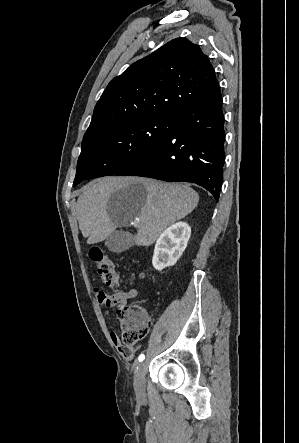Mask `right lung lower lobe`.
I'll return each instance as SVG.
<instances>
[{
    "label": "right lung lower lobe",
    "mask_w": 299,
    "mask_h": 443,
    "mask_svg": "<svg viewBox=\"0 0 299 443\" xmlns=\"http://www.w3.org/2000/svg\"><path fill=\"white\" fill-rule=\"evenodd\" d=\"M172 131L151 152L117 176L193 182L218 201L224 167V116L217 84L203 98L169 116Z\"/></svg>",
    "instance_id": "98d812e1"
}]
</instances>
